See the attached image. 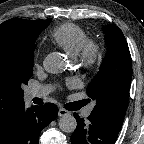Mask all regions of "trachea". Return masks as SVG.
I'll use <instances>...</instances> for the list:
<instances>
[{"label": "trachea", "instance_id": "1", "mask_svg": "<svg viewBox=\"0 0 144 144\" xmlns=\"http://www.w3.org/2000/svg\"><path fill=\"white\" fill-rule=\"evenodd\" d=\"M84 105H86V102H85V101H81V102H80V107H82V106H84Z\"/></svg>", "mask_w": 144, "mask_h": 144}]
</instances>
